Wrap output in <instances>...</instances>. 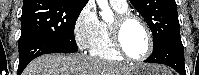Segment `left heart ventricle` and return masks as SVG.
<instances>
[{
	"mask_svg": "<svg viewBox=\"0 0 199 75\" xmlns=\"http://www.w3.org/2000/svg\"><path fill=\"white\" fill-rule=\"evenodd\" d=\"M122 42L127 53L132 57H141L147 51L146 33L137 21H129L122 30Z\"/></svg>",
	"mask_w": 199,
	"mask_h": 75,
	"instance_id": "b2bd125f",
	"label": "left heart ventricle"
}]
</instances>
